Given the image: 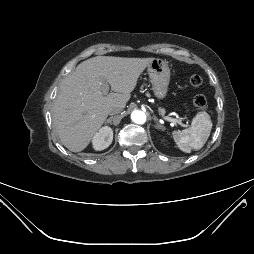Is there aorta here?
I'll return each mask as SVG.
<instances>
[{
  "label": "aorta",
  "mask_w": 254,
  "mask_h": 254,
  "mask_svg": "<svg viewBox=\"0 0 254 254\" xmlns=\"http://www.w3.org/2000/svg\"><path fill=\"white\" fill-rule=\"evenodd\" d=\"M131 119L137 124H143L146 121V114L143 111L135 110L131 114Z\"/></svg>",
  "instance_id": "aorta-1"
}]
</instances>
